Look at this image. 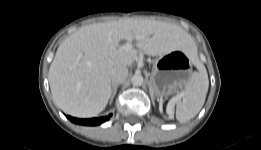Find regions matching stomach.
Returning <instances> with one entry per match:
<instances>
[{"mask_svg": "<svg viewBox=\"0 0 261 150\" xmlns=\"http://www.w3.org/2000/svg\"><path fill=\"white\" fill-rule=\"evenodd\" d=\"M191 75V58L184 51L176 50L159 56L152 69L151 92L168 96L186 83Z\"/></svg>", "mask_w": 261, "mask_h": 150, "instance_id": "0dacf381", "label": "stomach"}]
</instances>
